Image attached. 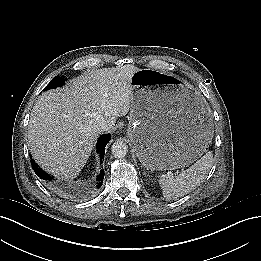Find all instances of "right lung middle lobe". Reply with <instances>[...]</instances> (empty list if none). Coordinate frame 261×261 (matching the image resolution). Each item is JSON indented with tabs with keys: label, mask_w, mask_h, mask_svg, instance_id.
Wrapping results in <instances>:
<instances>
[{
	"label": "right lung middle lobe",
	"mask_w": 261,
	"mask_h": 261,
	"mask_svg": "<svg viewBox=\"0 0 261 261\" xmlns=\"http://www.w3.org/2000/svg\"><path fill=\"white\" fill-rule=\"evenodd\" d=\"M64 84H65V79L63 77L55 76L44 90L61 87Z\"/></svg>",
	"instance_id": "obj_1"
}]
</instances>
